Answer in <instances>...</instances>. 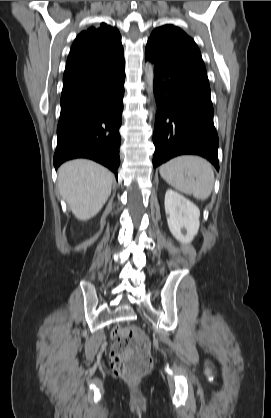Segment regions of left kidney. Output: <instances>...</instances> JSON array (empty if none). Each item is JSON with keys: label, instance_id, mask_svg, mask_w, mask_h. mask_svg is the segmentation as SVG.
<instances>
[{"label": "left kidney", "instance_id": "1", "mask_svg": "<svg viewBox=\"0 0 271 418\" xmlns=\"http://www.w3.org/2000/svg\"><path fill=\"white\" fill-rule=\"evenodd\" d=\"M164 204L170 232L181 243H190L200 226L198 207L172 189L166 191Z\"/></svg>", "mask_w": 271, "mask_h": 418}]
</instances>
